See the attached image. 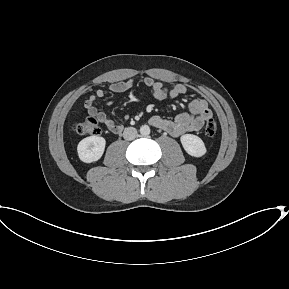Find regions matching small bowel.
<instances>
[{
  "instance_id": "obj_1",
  "label": "small bowel",
  "mask_w": 289,
  "mask_h": 289,
  "mask_svg": "<svg viewBox=\"0 0 289 289\" xmlns=\"http://www.w3.org/2000/svg\"><path fill=\"white\" fill-rule=\"evenodd\" d=\"M135 80L115 82L110 85L109 89L114 94H120L135 85ZM142 84L149 88L152 93V97L155 100H164L167 98H177L187 92V87L183 84H177L174 87H168L161 81H158L152 77H145L142 80ZM105 96V92L101 89L97 90L95 94L91 95L84 104L88 114L96 118L100 123L104 124L108 130L113 133H117L121 130L119 125L113 119L99 111L96 107L99 99ZM212 112L209 109V105L204 99H193L186 111L178 114L174 119H165L161 116H153L150 119V123L164 131L168 132L174 137H180L190 132L199 131L204 123L211 119Z\"/></svg>"
}]
</instances>
